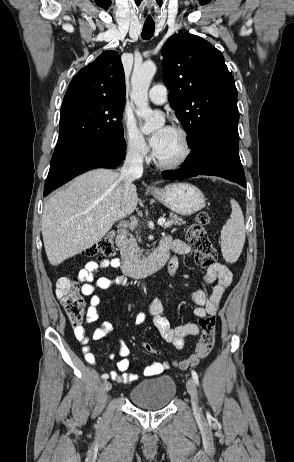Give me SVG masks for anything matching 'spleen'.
Returning a JSON list of instances; mask_svg holds the SVG:
<instances>
[{"mask_svg":"<svg viewBox=\"0 0 294 462\" xmlns=\"http://www.w3.org/2000/svg\"><path fill=\"white\" fill-rule=\"evenodd\" d=\"M232 213L221 231V250L227 262H236L245 242L244 216L239 204L231 199Z\"/></svg>","mask_w":294,"mask_h":462,"instance_id":"spleen-1","label":"spleen"}]
</instances>
